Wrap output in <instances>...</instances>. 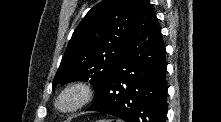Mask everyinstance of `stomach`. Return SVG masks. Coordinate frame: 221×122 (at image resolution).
I'll use <instances>...</instances> for the list:
<instances>
[{"instance_id": "stomach-1", "label": "stomach", "mask_w": 221, "mask_h": 122, "mask_svg": "<svg viewBox=\"0 0 221 122\" xmlns=\"http://www.w3.org/2000/svg\"><path fill=\"white\" fill-rule=\"evenodd\" d=\"M99 122H109V121L101 120V121H99Z\"/></svg>"}]
</instances>
